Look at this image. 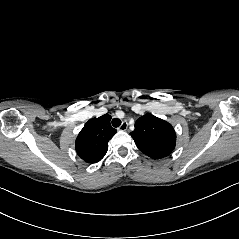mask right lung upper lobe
<instances>
[{
    "label": "right lung upper lobe",
    "mask_w": 239,
    "mask_h": 239,
    "mask_svg": "<svg viewBox=\"0 0 239 239\" xmlns=\"http://www.w3.org/2000/svg\"><path fill=\"white\" fill-rule=\"evenodd\" d=\"M110 120L109 114L92 118L78 134L75 149L85 162L97 163L105 156L108 142L116 133V129L110 125Z\"/></svg>",
    "instance_id": "right-lung-upper-lobe-1"
}]
</instances>
